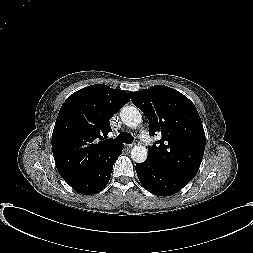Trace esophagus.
Returning a JSON list of instances; mask_svg holds the SVG:
<instances>
[{
	"instance_id": "34e87169",
	"label": "esophagus",
	"mask_w": 253,
	"mask_h": 253,
	"mask_svg": "<svg viewBox=\"0 0 253 253\" xmlns=\"http://www.w3.org/2000/svg\"><path fill=\"white\" fill-rule=\"evenodd\" d=\"M126 146H127V148L130 149V148H133V147L135 146V144H134V143H131V144H127Z\"/></svg>"
}]
</instances>
